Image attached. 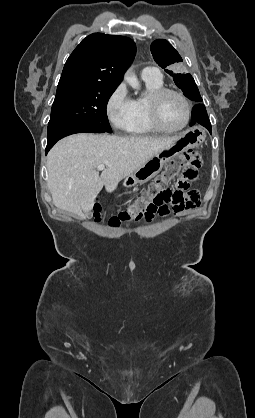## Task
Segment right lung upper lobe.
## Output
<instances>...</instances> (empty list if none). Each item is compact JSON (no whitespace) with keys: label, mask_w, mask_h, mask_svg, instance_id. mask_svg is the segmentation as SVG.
<instances>
[{"label":"right lung upper lobe","mask_w":255,"mask_h":418,"mask_svg":"<svg viewBox=\"0 0 255 418\" xmlns=\"http://www.w3.org/2000/svg\"><path fill=\"white\" fill-rule=\"evenodd\" d=\"M135 53L136 45L128 37L93 33L69 56L58 85L82 83L117 87Z\"/></svg>","instance_id":"cb5924a9"}]
</instances>
